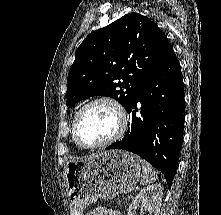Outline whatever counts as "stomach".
<instances>
[{"instance_id": "1", "label": "stomach", "mask_w": 221, "mask_h": 215, "mask_svg": "<svg viewBox=\"0 0 221 215\" xmlns=\"http://www.w3.org/2000/svg\"><path fill=\"white\" fill-rule=\"evenodd\" d=\"M141 177V159L124 150L104 151L68 162L64 178L71 215H83L98 198L108 200L132 191Z\"/></svg>"}]
</instances>
